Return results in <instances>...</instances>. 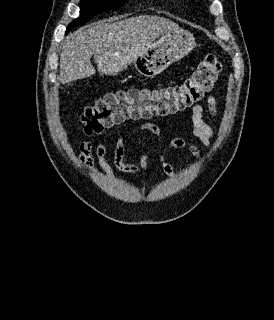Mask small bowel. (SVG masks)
I'll return each instance as SVG.
<instances>
[{"mask_svg":"<svg viewBox=\"0 0 274 320\" xmlns=\"http://www.w3.org/2000/svg\"><path fill=\"white\" fill-rule=\"evenodd\" d=\"M209 113L215 117L217 114V100L214 96L207 99ZM204 107L202 104H195L191 109V121L193 124V134L205 145L210 147L214 137L212 128L203 118ZM151 133L156 137L157 154L162 171L170 178H176L177 173L174 167L167 162L166 155L171 149L185 148L194 157L201 158L199 148L193 143L175 138L168 142L165 141L161 129L153 123H142L132 127ZM129 130L123 131L117 138L113 153L114 167L123 173L148 172L152 154L146 153L141 156L138 165L127 163L125 161V140ZM105 137V136H104ZM104 137L99 140L94 147L92 141L86 140L80 144L79 160L81 164L93 173H103L110 181L115 182V171L113 166L107 161V148L104 143Z\"/></svg>","mask_w":274,"mask_h":320,"instance_id":"obj_1","label":"small bowel"}]
</instances>
